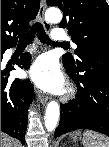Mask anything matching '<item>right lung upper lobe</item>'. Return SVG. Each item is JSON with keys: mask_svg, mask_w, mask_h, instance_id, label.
<instances>
[{"mask_svg": "<svg viewBox=\"0 0 109 147\" xmlns=\"http://www.w3.org/2000/svg\"><path fill=\"white\" fill-rule=\"evenodd\" d=\"M39 7V0H1V47L16 42L17 35L28 31Z\"/></svg>", "mask_w": 109, "mask_h": 147, "instance_id": "right-lung-upper-lobe-1", "label": "right lung upper lobe"}]
</instances>
